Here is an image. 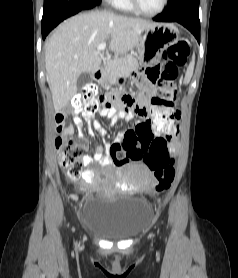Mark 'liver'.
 Listing matches in <instances>:
<instances>
[{
  "label": "liver",
  "mask_w": 238,
  "mask_h": 278,
  "mask_svg": "<svg viewBox=\"0 0 238 278\" xmlns=\"http://www.w3.org/2000/svg\"><path fill=\"white\" fill-rule=\"evenodd\" d=\"M155 24L107 11L80 13L64 21L45 49L46 78L55 111H61L77 93V80L82 73H93L100 68L97 50L100 43L110 40L109 50L124 55Z\"/></svg>",
  "instance_id": "obj_1"
}]
</instances>
